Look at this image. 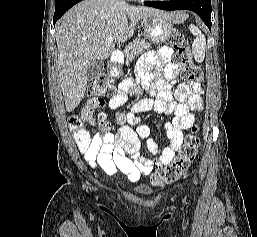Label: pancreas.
<instances>
[{
	"instance_id": "pancreas-1",
	"label": "pancreas",
	"mask_w": 257,
	"mask_h": 237,
	"mask_svg": "<svg viewBox=\"0 0 257 237\" xmlns=\"http://www.w3.org/2000/svg\"><path fill=\"white\" fill-rule=\"evenodd\" d=\"M149 48H151V45L147 41L140 39L133 40V42L129 43L124 50L126 60L132 61L135 56H138L144 50H148Z\"/></svg>"
}]
</instances>
